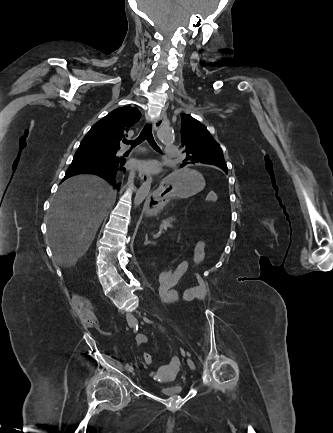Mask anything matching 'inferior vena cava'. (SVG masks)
<instances>
[{
    "label": "inferior vena cava",
    "instance_id": "1",
    "mask_svg": "<svg viewBox=\"0 0 333 433\" xmlns=\"http://www.w3.org/2000/svg\"><path fill=\"white\" fill-rule=\"evenodd\" d=\"M126 319H127L128 322H131V321L135 320L134 316L132 314H130V313L126 314Z\"/></svg>",
    "mask_w": 333,
    "mask_h": 433
}]
</instances>
